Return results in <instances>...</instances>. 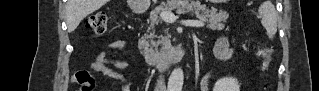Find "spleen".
I'll return each mask as SVG.
<instances>
[{
	"mask_svg": "<svg viewBox=\"0 0 319 91\" xmlns=\"http://www.w3.org/2000/svg\"><path fill=\"white\" fill-rule=\"evenodd\" d=\"M261 24L265 28L269 38H273L277 32L278 14L270 0L263 2L258 9Z\"/></svg>",
	"mask_w": 319,
	"mask_h": 91,
	"instance_id": "spleen-1",
	"label": "spleen"
}]
</instances>
